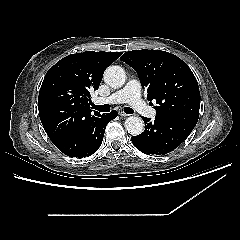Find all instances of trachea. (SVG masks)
Returning <instances> with one entry per match:
<instances>
[{
  "label": "trachea",
  "instance_id": "obj_1",
  "mask_svg": "<svg viewBox=\"0 0 240 240\" xmlns=\"http://www.w3.org/2000/svg\"><path fill=\"white\" fill-rule=\"evenodd\" d=\"M93 108L98 110L99 112H109L110 111V105L104 104V105H93ZM124 112L126 114H133L134 111L130 107H125Z\"/></svg>",
  "mask_w": 240,
  "mask_h": 240
}]
</instances>
